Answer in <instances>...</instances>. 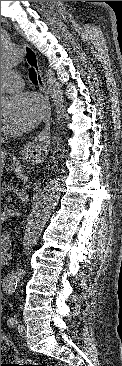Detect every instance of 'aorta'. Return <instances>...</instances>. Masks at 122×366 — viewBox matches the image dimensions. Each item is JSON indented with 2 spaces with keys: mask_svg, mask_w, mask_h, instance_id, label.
I'll return each mask as SVG.
<instances>
[{
  "mask_svg": "<svg viewBox=\"0 0 122 366\" xmlns=\"http://www.w3.org/2000/svg\"><path fill=\"white\" fill-rule=\"evenodd\" d=\"M24 61V51L19 44L4 41L1 42V71H7ZM47 86L51 96L55 112L57 114L58 123H62L65 114V104L63 91L60 83L56 80L51 72L47 73ZM8 98L1 94V113L6 112L8 105ZM63 172L59 171L46 182L42 187V190L36 199L27 225L24 230L22 244L24 247L34 246L39 237L41 236L43 229L48 222L52 211L54 210L61 192L63 190L62 180Z\"/></svg>",
  "mask_w": 122,
  "mask_h": 366,
  "instance_id": "762f6f07",
  "label": "aorta"
}]
</instances>
